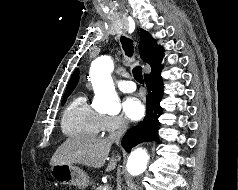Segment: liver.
<instances>
[{
    "mask_svg": "<svg viewBox=\"0 0 238 190\" xmlns=\"http://www.w3.org/2000/svg\"><path fill=\"white\" fill-rule=\"evenodd\" d=\"M112 141L108 138L69 137L58 147L51 158L50 165L81 164L87 167H103L109 155ZM120 156H112L106 171L115 169Z\"/></svg>",
    "mask_w": 238,
    "mask_h": 190,
    "instance_id": "obj_1",
    "label": "liver"
}]
</instances>
